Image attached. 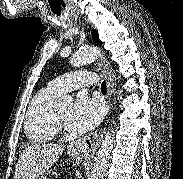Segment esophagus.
Returning a JSON list of instances; mask_svg holds the SVG:
<instances>
[{
    "label": "esophagus",
    "mask_w": 183,
    "mask_h": 179,
    "mask_svg": "<svg viewBox=\"0 0 183 179\" xmlns=\"http://www.w3.org/2000/svg\"><path fill=\"white\" fill-rule=\"evenodd\" d=\"M97 62L99 66L102 68L103 74L105 75L106 82H107L108 99L110 101L111 95L113 93V86H114L113 74L108 64L105 62L102 56H100L97 59ZM104 132H105V128L99 129L89 134L88 136L79 139L78 141L73 143L72 145L73 150L81 154L94 153L99 147V144L101 142Z\"/></svg>",
    "instance_id": "34e87169"
}]
</instances>
